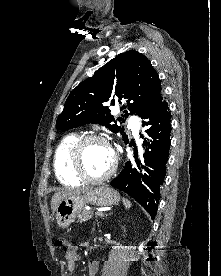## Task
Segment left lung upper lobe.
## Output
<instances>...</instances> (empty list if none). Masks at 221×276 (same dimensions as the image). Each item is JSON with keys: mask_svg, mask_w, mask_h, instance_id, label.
Masks as SVG:
<instances>
[{"mask_svg": "<svg viewBox=\"0 0 221 276\" xmlns=\"http://www.w3.org/2000/svg\"><path fill=\"white\" fill-rule=\"evenodd\" d=\"M162 100L161 80L150 61L130 50L110 60L70 93L57 118L56 129L68 130L94 123L114 133L120 132L123 141L128 143L109 106L121 104L122 117L118 121H123L129 115L127 110L144 118Z\"/></svg>", "mask_w": 221, "mask_h": 276, "instance_id": "5c2ea615", "label": "left lung upper lobe"}]
</instances>
